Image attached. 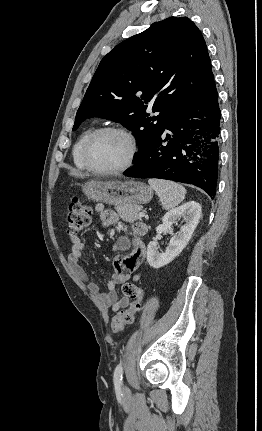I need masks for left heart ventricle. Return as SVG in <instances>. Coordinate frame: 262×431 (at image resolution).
Masks as SVG:
<instances>
[{"label": "left heart ventricle", "mask_w": 262, "mask_h": 431, "mask_svg": "<svg viewBox=\"0 0 262 431\" xmlns=\"http://www.w3.org/2000/svg\"><path fill=\"white\" fill-rule=\"evenodd\" d=\"M129 151V142L123 135L105 133L93 142L90 149V160L100 168H116L126 161Z\"/></svg>", "instance_id": "left-heart-ventricle-1"}]
</instances>
